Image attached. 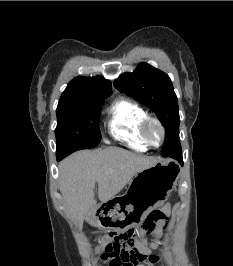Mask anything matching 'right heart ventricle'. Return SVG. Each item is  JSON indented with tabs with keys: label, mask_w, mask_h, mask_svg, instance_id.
<instances>
[{
	"label": "right heart ventricle",
	"mask_w": 233,
	"mask_h": 266,
	"mask_svg": "<svg viewBox=\"0 0 233 266\" xmlns=\"http://www.w3.org/2000/svg\"><path fill=\"white\" fill-rule=\"evenodd\" d=\"M147 112L138 103L120 98L109 109L108 127L111 136L133 149L146 151L147 144L141 137L140 127Z\"/></svg>",
	"instance_id": "e07e8e85"
}]
</instances>
